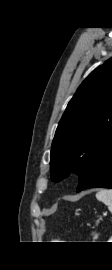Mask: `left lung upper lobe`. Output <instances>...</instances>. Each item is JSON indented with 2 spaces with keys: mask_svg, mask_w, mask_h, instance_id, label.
I'll use <instances>...</instances> for the list:
<instances>
[{
  "mask_svg": "<svg viewBox=\"0 0 112 270\" xmlns=\"http://www.w3.org/2000/svg\"><path fill=\"white\" fill-rule=\"evenodd\" d=\"M112 146V57L78 87L59 122L51 149V178L86 179Z\"/></svg>",
  "mask_w": 112,
  "mask_h": 270,
  "instance_id": "1",
  "label": "left lung upper lobe"
}]
</instances>
